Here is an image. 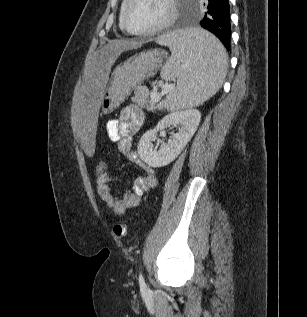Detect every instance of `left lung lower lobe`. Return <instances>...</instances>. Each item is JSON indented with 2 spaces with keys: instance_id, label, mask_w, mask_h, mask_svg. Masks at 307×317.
<instances>
[{
  "instance_id": "1",
  "label": "left lung lower lobe",
  "mask_w": 307,
  "mask_h": 317,
  "mask_svg": "<svg viewBox=\"0 0 307 317\" xmlns=\"http://www.w3.org/2000/svg\"><path fill=\"white\" fill-rule=\"evenodd\" d=\"M205 16L201 27L216 35L229 51L231 46L230 7L228 0H204Z\"/></svg>"
}]
</instances>
